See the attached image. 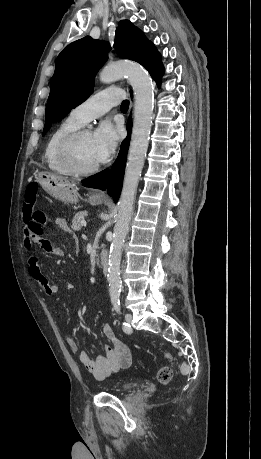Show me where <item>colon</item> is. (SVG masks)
Wrapping results in <instances>:
<instances>
[{
    "label": "colon",
    "mask_w": 261,
    "mask_h": 459,
    "mask_svg": "<svg viewBox=\"0 0 261 459\" xmlns=\"http://www.w3.org/2000/svg\"><path fill=\"white\" fill-rule=\"evenodd\" d=\"M37 195V184L34 182L30 183L25 191L23 218L19 221V224L23 227L20 233L22 238H35L36 233H43L51 221L49 215L45 212L34 210ZM166 357L171 359L169 354H166ZM157 378L162 384L169 383L172 379L171 368L168 366L161 367L157 373Z\"/></svg>",
    "instance_id": "colon-1"
}]
</instances>
